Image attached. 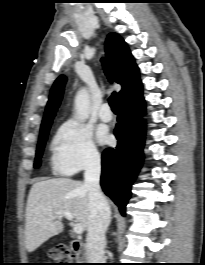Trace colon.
<instances>
[{
	"mask_svg": "<svg viewBox=\"0 0 205 265\" xmlns=\"http://www.w3.org/2000/svg\"><path fill=\"white\" fill-rule=\"evenodd\" d=\"M49 256L55 262H58L57 265H67V262L71 259L70 251L63 245L53 248L49 252Z\"/></svg>",
	"mask_w": 205,
	"mask_h": 265,
	"instance_id": "colon-1",
	"label": "colon"
}]
</instances>
